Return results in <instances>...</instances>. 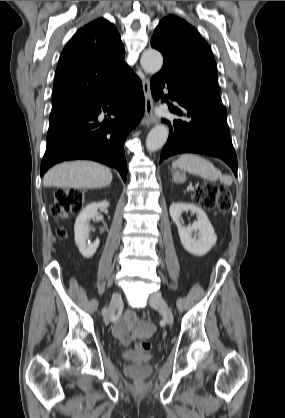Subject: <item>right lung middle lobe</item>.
I'll return each mask as SVG.
<instances>
[{
  "mask_svg": "<svg viewBox=\"0 0 285 418\" xmlns=\"http://www.w3.org/2000/svg\"><path fill=\"white\" fill-rule=\"evenodd\" d=\"M87 105H72L53 108L50 114V124L60 121L61 119L68 117L74 113L85 110Z\"/></svg>",
  "mask_w": 285,
  "mask_h": 418,
  "instance_id": "obj_1",
  "label": "right lung middle lobe"
}]
</instances>
